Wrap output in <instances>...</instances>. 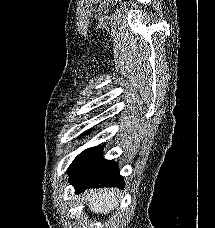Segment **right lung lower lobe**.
<instances>
[{"mask_svg":"<svg viewBox=\"0 0 215 228\" xmlns=\"http://www.w3.org/2000/svg\"><path fill=\"white\" fill-rule=\"evenodd\" d=\"M102 154L101 151L71 174L69 182L74 186L76 193H81L90 188H124V180L119 174L117 164L104 159Z\"/></svg>","mask_w":215,"mask_h":228,"instance_id":"right-lung-lower-lobe-1","label":"right lung lower lobe"}]
</instances>
